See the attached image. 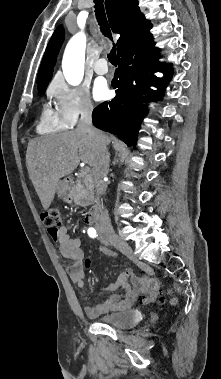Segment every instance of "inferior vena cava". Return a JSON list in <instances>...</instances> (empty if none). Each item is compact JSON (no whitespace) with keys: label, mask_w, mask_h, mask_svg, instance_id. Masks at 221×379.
I'll use <instances>...</instances> for the list:
<instances>
[{"label":"inferior vena cava","mask_w":221,"mask_h":379,"mask_svg":"<svg viewBox=\"0 0 221 379\" xmlns=\"http://www.w3.org/2000/svg\"><path fill=\"white\" fill-rule=\"evenodd\" d=\"M91 113L92 106L90 104L85 105L81 111V117L77 125V130H81L100 139L102 138V133L93 127ZM109 162L110 153L107 150V146L101 144L99 147L97 161L93 168V177L97 194H104L106 192L107 184L104 182V177L108 174ZM98 227L100 229L112 230L107 210L101 213L98 221Z\"/></svg>","instance_id":"602c4592"}]
</instances>
